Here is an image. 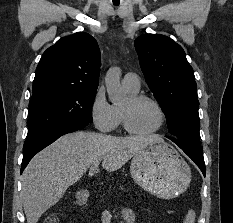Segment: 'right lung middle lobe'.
Instances as JSON below:
<instances>
[{"label":"right lung middle lobe","mask_w":233,"mask_h":223,"mask_svg":"<svg viewBox=\"0 0 233 223\" xmlns=\"http://www.w3.org/2000/svg\"><path fill=\"white\" fill-rule=\"evenodd\" d=\"M95 95L96 90H51L32 95L24 153L66 124L91 123Z\"/></svg>","instance_id":"obj_1"}]
</instances>
